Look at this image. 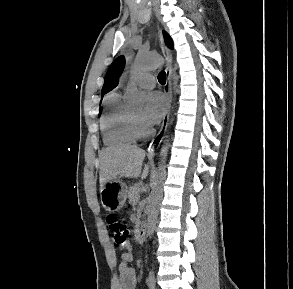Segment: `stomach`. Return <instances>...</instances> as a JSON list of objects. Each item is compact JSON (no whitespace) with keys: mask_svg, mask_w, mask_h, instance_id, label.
Instances as JSON below:
<instances>
[{"mask_svg":"<svg viewBox=\"0 0 293 289\" xmlns=\"http://www.w3.org/2000/svg\"><path fill=\"white\" fill-rule=\"evenodd\" d=\"M128 187L119 179L107 182L100 188L102 206L108 211L121 209L126 201Z\"/></svg>","mask_w":293,"mask_h":289,"instance_id":"obj_1","label":"stomach"}]
</instances>
